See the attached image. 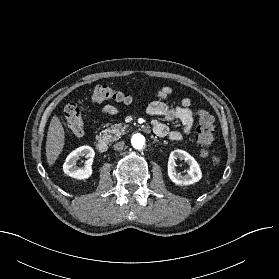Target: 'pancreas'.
Returning a JSON list of instances; mask_svg holds the SVG:
<instances>
[{
  "label": "pancreas",
  "mask_w": 279,
  "mask_h": 279,
  "mask_svg": "<svg viewBox=\"0 0 279 279\" xmlns=\"http://www.w3.org/2000/svg\"><path fill=\"white\" fill-rule=\"evenodd\" d=\"M124 131L125 127L122 124H114L111 128L103 130L100 136L107 142H113L118 140Z\"/></svg>",
  "instance_id": "cf45deb5"
}]
</instances>
